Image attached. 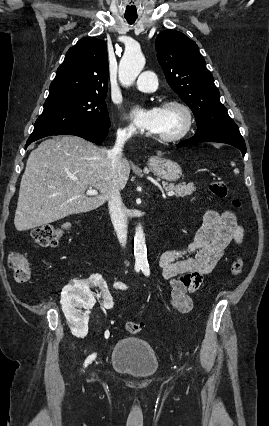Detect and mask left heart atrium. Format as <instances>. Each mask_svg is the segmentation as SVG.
Here are the masks:
<instances>
[{
	"label": "left heart atrium",
	"mask_w": 269,
	"mask_h": 426,
	"mask_svg": "<svg viewBox=\"0 0 269 426\" xmlns=\"http://www.w3.org/2000/svg\"><path fill=\"white\" fill-rule=\"evenodd\" d=\"M161 110L162 108L157 106L150 108L134 106L130 112V116L139 129L152 132L159 124Z\"/></svg>",
	"instance_id": "39dd6f15"
}]
</instances>
